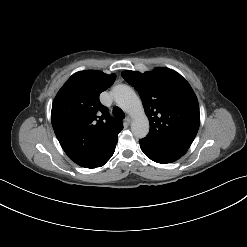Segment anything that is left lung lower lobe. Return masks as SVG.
<instances>
[{"label":"left lung lower lobe","instance_id":"0a47b994","mask_svg":"<svg viewBox=\"0 0 247 247\" xmlns=\"http://www.w3.org/2000/svg\"><path fill=\"white\" fill-rule=\"evenodd\" d=\"M140 148L143 153L157 163H172L181 158L188 149L163 145L146 137L139 140Z\"/></svg>","mask_w":247,"mask_h":247}]
</instances>
